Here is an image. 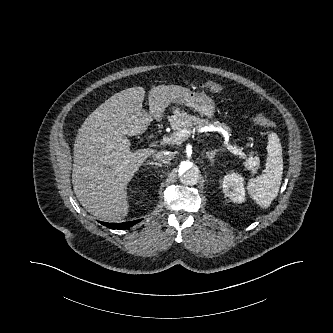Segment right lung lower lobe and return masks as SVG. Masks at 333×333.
Masks as SVG:
<instances>
[{
    "mask_svg": "<svg viewBox=\"0 0 333 333\" xmlns=\"http://www.w3.org/2000/svg\"><path fill=\"white\" fill-rule=\"evenodd\" d=\"M141 220L130 221V222H123V223H106L100 222L102 225L110 228V229H128L130 226L140 222Z\"/></svg>",
    "mask_w": 333,
    "mask_h": 333,
    "instance_id": "obj_1",
    "label": "right lung lower lobe"
}]
</instances>
